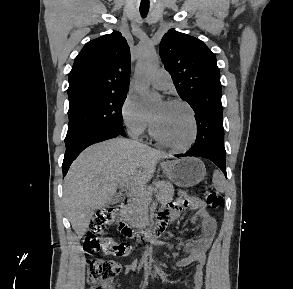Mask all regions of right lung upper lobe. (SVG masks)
I'll use <instances>...</instances> for the list:
<instances>
[{
	"label": "right lung upper lobe",
	"mask_w": 293,
	"mask_h": 289,
	"mask_svg": "<svg viewBox=\"0 0 293 289\" xmlns=\"http://www.w3.org/2000/svg\"><path fill=\"white\" fill-rule=\"evenodd\" d=\"M130 65V49L120 32L86 43L69 73V101L85 96L127 93Z\"/></svg>",
	"instance_id": "obj_1"
}]
</instances>
